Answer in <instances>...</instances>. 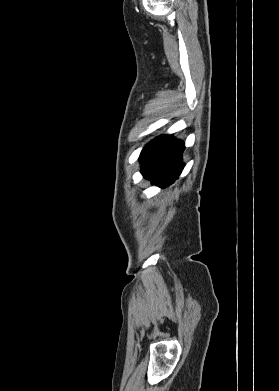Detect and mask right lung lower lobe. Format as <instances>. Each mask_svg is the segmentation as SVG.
I'll list each match as a JSON object with an SVG mask.
<instances>
[{"label":"right lung lower lobe","mask_w":279,"mask_h":391,"mask_svg":"<svg viewBox=\"0 0 279 391\" xmlns=\"http://www.w3.org/2000/svg\"><path fill=\"white\" fill-rule=\"evenodd\" d=\"M184 143L173 136L161 135L150 141L140 155L141 171L153 184L166 187L172 184L183 169Z\"/></svg>","instance_id":"1"}]
</instances>
